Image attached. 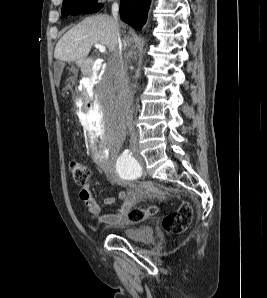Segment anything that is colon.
<instances>
[{
    "mask_svg": "<svg viewBox=\"0 0 267 298\" xmlns=\"http://www.w3.org/2000/svg\"><path fill=\"white\" fill-rule=\"evenodd\" d=\"M68 167L73 182L79 186L85 185L89 177L88 168L76 159L69 160ZM157 212L158 207L155 205H150L145 208H133L128 213V220L134 224L140 223L155 215ZM192 215L191 205L187 202H183L176 210L170 212L163 218L162 226L168 233L180 234L189 227L192 221Z\"/></svg>",
    "mask_w": 267,
    "mask_h": 298,
    "instance_id": "5ec220e1",
    "label": "colon"
}]
</instances>
